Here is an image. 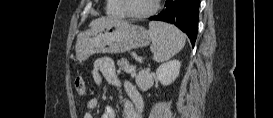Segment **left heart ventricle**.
Masks as SVG:
<instances>
[{
    "label": "left heart ventricle",
    "mask_w": 273,
    "mask_h": 118,
    "mask_svg": "<svg viewBox=\"0 0 273 118\" xmlns=\"http://www.w3.org/2000/svg\"><path fill=\"white\" fill-rule=\"evenodd\" d=\"M128 9L132 12H143L150 9L154 0H127Z\"/></svg>",
    "instance_id": "obj_1"
}]
</instances>
